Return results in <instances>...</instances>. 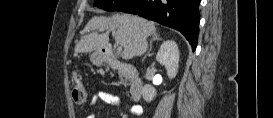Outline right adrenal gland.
Instances as JSON below:
<instances>
[{
  "label": "right adrenal gland",
  "instance_id": "right-adrenal-gland-1",
  "mask_svg": "<svg viewBox=\"0 0 273 118\" xmlns=\"http://www.w3.org/2000/svg\"><path fill=\"white\" fill-rule=\"evenodd\" d=\"M156 40H161V38H160V36H159L157 33H154V34L152 35V39H151V41H150L149 50H148L146 56H149V55H150V52H151V50H152V43H153L154 41H156ZM146 56H145V57H146Z\"/></svg>",
  "mask_w": 273,
  "mask_h": 118
}]
</instances>
